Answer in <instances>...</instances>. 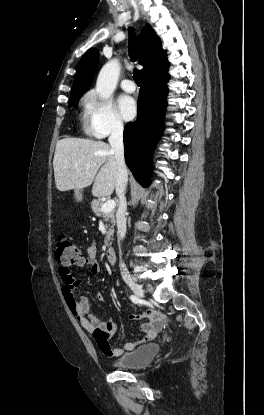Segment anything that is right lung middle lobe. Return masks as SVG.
Instances as JSON below:
<instances>
[{"instance_id":"obj_1","label":"right lung middle lobe","mask_w":264,"mask_h":415,"mask_svg":"<svg viewBox=\"0 0 264 415\" xmlns=\"http://www.w3.org/2000/svg\"><path fill=\"white\" fill-rule=\"evenodd\" d=\"M82 95L72 96L69 100V107L75 106Z\"/></svg>"}]
</instances>
